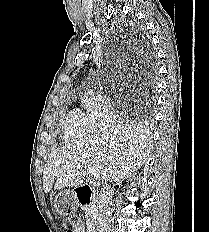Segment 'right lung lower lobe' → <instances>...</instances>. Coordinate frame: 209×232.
Returning <instances> with one entry per match:
<instances>
[{
  "label": "right lung lower lobe",
  "mask_w": 209,
  "mask_h": 232,
  "mask_svg": "<svg viewBox=\"0 0 209 232\" xmlns=\"http://www.w3.org/2000/svg\"><path fill=\"white\" fill-rule=\"evenodd\" d=\"M140 54H141L140 57L143 59V61H145L148 67L147 76L150 77L152 66L155 64L154 52L152 51L150 46L146 44V46L142 48V51Z\"/></svg>",
  "instance_id": "1"
}]
</instances>
